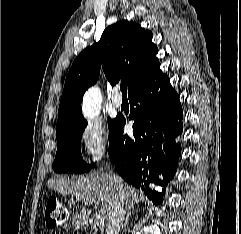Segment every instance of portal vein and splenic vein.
<instances>
[{
    "mask_svg": "<svg viewBox=\"0 0 241 234\" xmlns=\"http://www.w3.org/2000/svg\"><path fill=\"white\" fill-rule=\"evenodd\" d=\"M84 201H85V203L90 204V205H92V204L98 205V202L96 200H91V199L85 198ZM103 224H104V217L100 213L96 214L95 218H94V225L99 227Z\"/></svg>",
    "mask_w": 241,
    "mask_h": 234,
    "instance_id": "portal-vein-and-splenic-vein-1",
    "label": "portal vein and splenic vein"
}]
</instances>
